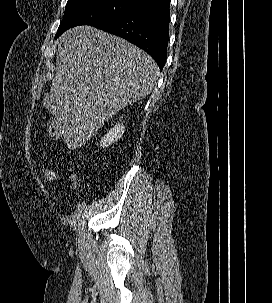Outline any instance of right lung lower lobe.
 Listing matches in <instances>:
<instances>
[{
    "label": "right lung lower lobe",
    "mask_w": 272,
    "mask_h": 303,
    "mask_svg": "<svg viewBox=\"0 0 272 303\" xmlns=\"http://www.w3.org/2000/svg\"><path fill=\"white\" fill-rule=\"evenodd\" d=\"M170 0H158L91 26L120 36L145 50L163 69L169 40Z\"/></svg>",
    "instance_id": "98d812e1"
}]
</instances>
